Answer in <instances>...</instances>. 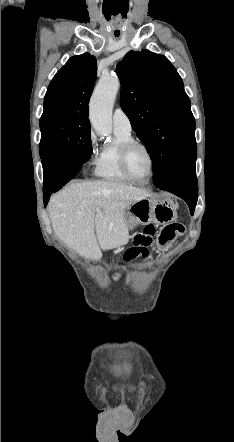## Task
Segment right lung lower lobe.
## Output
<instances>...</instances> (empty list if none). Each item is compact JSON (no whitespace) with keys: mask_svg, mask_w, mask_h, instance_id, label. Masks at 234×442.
<instances>
[{"mask_svg":"<svg viewBox=\"0 0 234 442\" xmlns=\"http://www.w3.org/2000/svg\"><path fill=\"white\" fill-rule=\"evenodd\" d=\"M42 166L43 198L46 207L51 194L70 181L80 171L82 164L69 154H62L42 160Z\"/></svg>","mask_w":234,"mask_h":442,"instance_id":"right-lung-lower-lobe-1","label":"right lung lower lobe"}]
</instances>
